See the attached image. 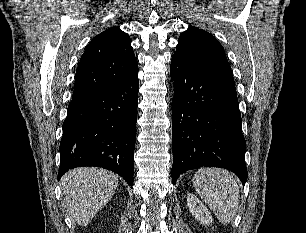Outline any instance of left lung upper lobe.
I'll return each instance as SVG.
<instances>
[{"instance_id":"left-lung-upper-lobe-1","label":"left lung upper lobe","mask_w":306,"mask_h":233,"mask_svg":"<svg viewBox=\"0 0 306 233\" xmlns=\"http://www.w3.org/2000/svg\"><path fill=\"white\" fill-rule=\"evenodd\" d=\"M175 56L190 65L232 76L222 45L210 33L190 26L179 37Z\"/></svg>"}]
</instances>
